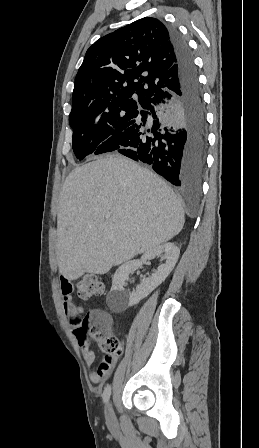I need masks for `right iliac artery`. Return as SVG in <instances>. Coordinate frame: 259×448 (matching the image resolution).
Wrapping results in <instances>:
<instances>
[{
	"mask_svg": "<svg viewBox=\"0 0 259 448\" xmlns=\"http://www.w3.org/2000/svg\"><path fill=\"white\" fill-rule=\"evenodd\" d=\"M110 395H111V386H110V385H107L106 388H105V390H104V392H103V401H104L105 403L108 402V400H109V398H110Z\"/></svg>",
	"mask_w": 259,
	"mask_h": 448,
	"instance_id": "right-iliac-artery-1",
	"label": "right iliac artery"
}]
</instances>
